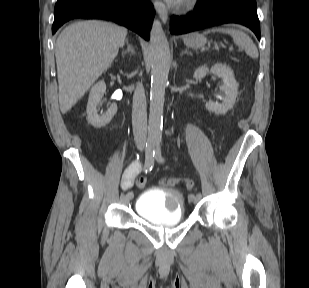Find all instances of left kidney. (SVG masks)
Segmentation results:
<instances>
[{"label":"left kidney","instance_id":"obj_1","mask_svg":"<svg viewBox=\"0 0 309 288\" xmlns=\"http://www.w3.org/2000/svg\"><path fill=\"white\" fill-rule=\"evenodd\" d=\"M209 69L206 66H201L197 68L194 72V78L196 80L205 77ZM211 72L215 75H218L222 78L223 84L220 89L224 93L225 97L221 104L209 101L206 103V109L210 112L216 114H225L228 112L233 105L235 104L237 93H238V84L233 75L232 70L225 64L217 63L211 68Z\"/></svg>","mask_w":309,"mask_h":288}]
</instances>
